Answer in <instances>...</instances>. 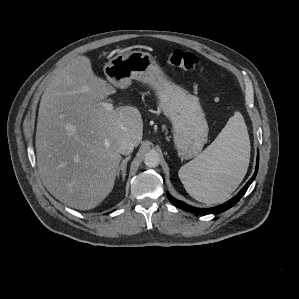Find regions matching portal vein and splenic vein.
<instances>
[{
	"label": "portal vein and splenic vein",
	"instance_id": "portal-vein-and-splenic-vein-1",
	"mask_svg": "<svg viewBox=\"0 0 299 299\" xmlns=\"http://www.w3.org/2000/svg\"><path fill=\"white\" fill-rule=\"evenodd\" d=\"M100 106H102L103 108H105L107 111H113L114 110V106L112 103H108V102H98Z\"/></svg>",
	"mask_w": 299,
	"mask_h": 299
}]
</instances>
